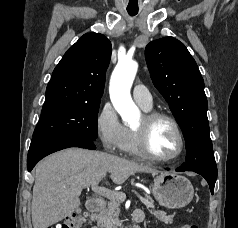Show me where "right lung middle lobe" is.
Returning <instances> with one entry per match:
<instances>
[{
  "label": "right lung middle lobe",
  "mask_w": 238,
  "mask_h": 228,
  "mask_svg": "<svg viewBox=\"0 0 238 228\" xmlns=\"http://www.w3.org/2000/svg\"><path fill=\"white\" fill-rule=\"evenodd\" d=\"M99 106L100 104L74 105L41 114L33 139L80 137L94 141L98 137Z\"/></svg>",
  "instance_id": "1"
}]
</instances>
